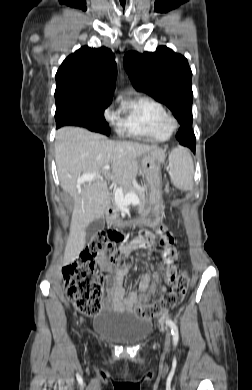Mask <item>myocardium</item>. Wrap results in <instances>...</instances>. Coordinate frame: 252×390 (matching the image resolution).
<instances>
[{
	"label": "myocardium",
	"instance_id": "obj_1",
	"mask_svg": "<svg viewBox=\"0 0 252 390\" xmlns=\"http://www.w3.org/2000/svg\"><path fill=\"white\" fill-rule=\"evenodd\" d=\"M163 123L166 128L173 130L177 126V119L173 114L166 112L163 117Z\"/></svg>",
	"mask_w": 252,
	"mask_h": 390
}]
</instances>
